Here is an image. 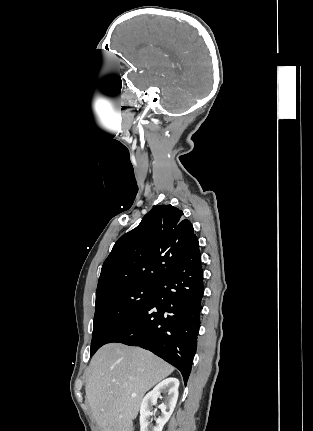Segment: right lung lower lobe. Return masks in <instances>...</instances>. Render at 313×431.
<instances>
[{
	"instance_id": "1",
	"label": "right lung lower lobe",
	"mask_w": 313,
	"mask_h": 431,
	"mask_svg": "<svg viewBox=\"0 0 313 431\" xmlns=\"http://www.w3.org/2000/svg\"><path fill=\"white\" fill-rule=\"evenodd\" d=\"M203 271L198 239L151 297L106 342L139 346L175 366L187 383L200 326Z\"/></svg>"
}]
</instances>
